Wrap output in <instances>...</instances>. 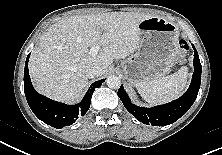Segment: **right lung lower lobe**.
<instances>
[{
  "label": "right lung lower lobe",
  "mask_w": 222,
  "mask_h": 155,
  "mask_svg": "<svg viewBox=\"0 0 222 155\" xmlns=\"http://www.w3.org/2000/svg\"><path fill=\"white\" fill-rule=\"evenodd\" d=\"M29 55L24 69V92L31 110L41 121L54 128L61 129L64 126L72 125L79 115L83 116L88 111L95 88L100 87L105 79L94 82L82 101L76 105L56 102L42 96L33 88L28 71Z\"/></svg>",
  "instance_id": "obj_1"
}]
</instances>
